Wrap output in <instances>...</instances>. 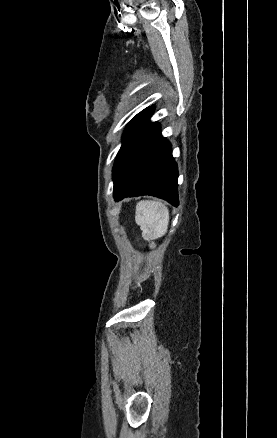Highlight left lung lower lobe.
I'll return each mask as SVG.
<instances>
[{
	"label": "left lung lower lobe",
	"mask_w": 277,
	"mask_h": 438,
	"mask_svg": "<svg viewBox=\"0 0 277 438\" xmlns=\"http://www.w3.org/2000/svg\"><path fill=\"white\" fill-rule=\"evenodd\" d=\"M153 111V107H148L138 115L130 147L114 183V199L151 195L178 206L177 164L159 124L149 121Z\"/></svg>",
	"instance_id": "obj_1"
}]
</instances>
